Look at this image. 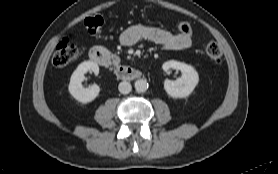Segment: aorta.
<instances>
[{
    "label": "aorta",
    "instance_id": "762f6f07",
    "mask_svg": "<svg viewBox=\"0 0 278 174\" xmlns=\"http://www.w3.org/2000/svg\"><path fill=\"white\" fill-rule=\"evenodd\" d=\"M137 92H144L148 89V82L145 79H138L134 83Z\"/></svg>",
    "mask_w": 278,
    "mask_h": 174
}]
</instances>
